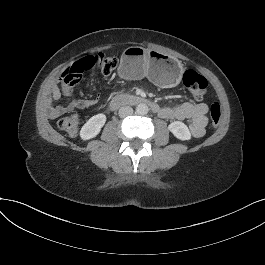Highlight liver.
I'll return each mask as SVG.
<instances>
[{
    "instance_id": "6515ba94",
    "label": "liver",
    "mask_w": 265,
    "mask_h": 265,
    "mask_svg": "<svg viewBox=\"0 0 265 265\" xmlns=\"http://www.w3.org/2000/svg\"><path fill=\"white\" fill-rule=\"evenodd\" d=\"M50 115H51L50 119L55 120V117L52 115V113H50Z\"/></svg>"
}]
</instances>
